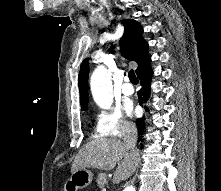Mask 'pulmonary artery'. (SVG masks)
Wrapping results in <instances>:
<instances>
[{
  "mask_svg": "<svg viewBox=\"0 0 221 191\" xmlns=\"http://www.w3.org/2000/svg\"><path fill=\"white\" fill-rule=\"evenodd\" d=\"M121 91L126 96H130L134 93V87L128 82V78L125 79V83L122 85Z\"/></svg>",
  "mask_w": 221,
  "mask_h": 191,
  "instance_id": "pulmonary-artery-1",
  "label": "pulmonary artery"
}]
</instances>
